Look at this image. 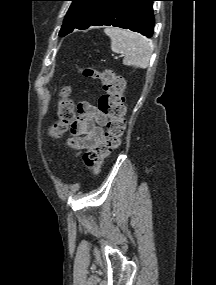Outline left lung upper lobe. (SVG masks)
Masks as SVG:
<instances>
[{
  "mask_svg": "<svg viewBox=\"0 0 216 285\" xmlns=\"http://www.w3.org/2000/svg\"><path fill=\"white\" fill-rule=\"evenodd\" d=\"M69 7L59 36H65L74 29H85L113 0H69Z\"/></svg>",
  "mask_w": 216,
  "mask_h": 285,
  "instance_id": "5c2ea615",
  "label": "left lung upper lobe"
}]
</instances>
